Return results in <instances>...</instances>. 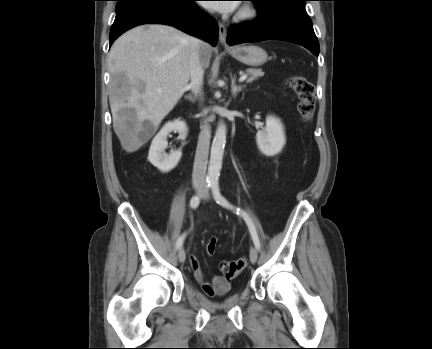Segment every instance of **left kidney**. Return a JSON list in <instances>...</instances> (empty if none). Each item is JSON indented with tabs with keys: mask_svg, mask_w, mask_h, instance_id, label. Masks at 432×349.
<instances>
[{
	"mask_svg": "<svg viewBox=\"0 0 432 349\" xmlns=\"http://www.w3.org/2000/svg\"><path fill=\"white\" fill-rule=\"evenodd\" d=\"M256 142L258 149L265 156L271 157L280 153L286 143L284 127L280 119L268 115L265 128L256 134Z\"/></svg>",
	"mask_w": 432,
	"mask_h": 349,
	"instance_id": "left-kidney-1",
	"label": "left kidney"
}]
</instances>
